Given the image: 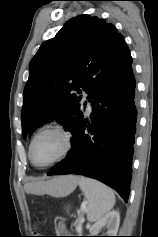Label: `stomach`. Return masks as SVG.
<instances>
[{
  "label": "stomach",
  "mask_w": 158,
  "mask_h": 237,
  "mask_svg": "<svg viewBox=\"0 0 158 237\" xmlns=\"http://www.w3.org/2000/svg\"><path fill=\"white\" fill-rule=\"evenodd\" d=\"M71 192H68L67 190L64 191L63 193L57 195L56 197H64V196H67L68 194H70ZM67 209L69 210V207H67Z\"/></svg>",
  "instance_id": "stomach-1"
}]
</instances>
